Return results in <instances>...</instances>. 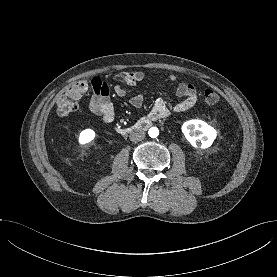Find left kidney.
<instances>
[{
    "mask_svg": "<svg viewBox=\"0 0 277 277\" xmlns=\"http://www.w3.org/2000/svg\"><path fill=\"white\" fill-rule=\"evenodd\" d=\"M182 132L187 141L195 148L206 149L216 138V129L203 120L193 119L182 125Z\"/></svg>",
    "mask_w": 277,
    "mask_h": 277,
    "instance_id": "1",
    "label": "left kidney"
}]
</instances>
